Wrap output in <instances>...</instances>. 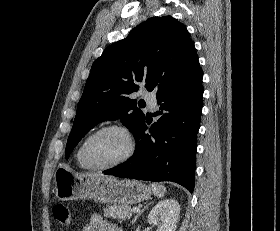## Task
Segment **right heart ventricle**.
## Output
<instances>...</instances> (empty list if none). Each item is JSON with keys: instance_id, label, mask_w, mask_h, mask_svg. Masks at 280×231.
Segmentation results:
<instances>
[{"instance_id": "e07e8e85", "label": "right heart ventricle", "mask_w": 280, "mask_h": 231, "mask_svg": "<svg viewBox=\"0 0 280 231\" xmlns=\"http://www.w3.org/2000/svg\"><path fill=\"white\" fill-rule=\"evenodd\" d=\"M89 135H90V134H89ZM87 136H88V135H87ZM87 136H86L84 139H82L81 142L78 144V146L76 147V150H75V155H74V157H75V162H76V165L78 166V168L81 169V170H85V171L90 170V169L87 168V167L83 164V162L81 161L80 153H81L82 145H83L85 139L87 138Z\"/></svg>"}]
</instances>
